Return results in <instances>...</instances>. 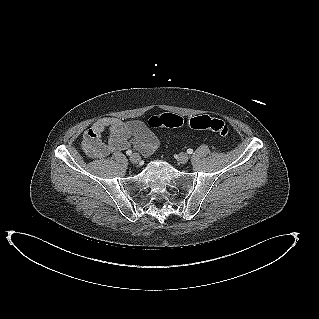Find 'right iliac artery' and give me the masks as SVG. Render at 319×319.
Listing matches in <instances>:
<instances>
[{
  "mask_svg": "<svg viewBox=\"0 0 319 319\" xmlns=\"http://www.w3.org/2000/svg\"><path fill=\"white\" fill-rule=\"evenodd\" d=\"M126 154H127V155H131V154H132V151H131V150H127V151H126Z\"/></svg>",
  "mask_w": 319,
  "mask_h": 319,
  "instance_id": "right-iliac-artery-1",
  "label": "right iliac artery"
}]
</instances>
